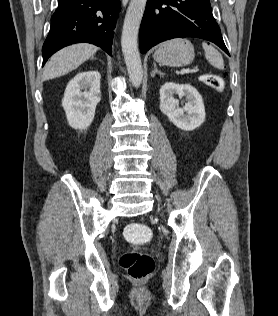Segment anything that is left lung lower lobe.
Returning <instances> with one entry per match:
<instances>
[{
    "label": "left lung lower lobe",
    "instance_id": "0a47b994",
    "mask_svg": "<svg viewBox=\"0 0 278 316\" xmlns=\"http://www.w3.org/2000/svg\"><path fill=\"white\" fill-rule=\"evenodd\" d=\"M211 41L229 56L209 0H148L139 32L141 53L173 38Z\"/></svg>",
    "mask_w": 278,
    "mask_h": 316
}]
</instances>
